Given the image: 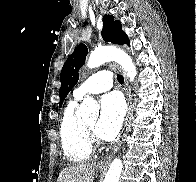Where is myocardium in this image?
I'll return each instance as SVG.
<instances>
[{
    "mask_svg": "<svg viewBox=\"0 0 196 182\" xmlns=\"http://www.w3.org/2000/svg\"><path fill=\"white\" fill-rule=\"evenodd\" d=\"M85 128H86V132H87L89 140L94 141L95 138H94V134H93V129L90 128L87 124H85Z\"/></svg>",
    "mask_w": 196,
    "mask_h": 182,
    "instance_id": "myocardium-1",
    "label": "myocardium"
}]
</instances>
